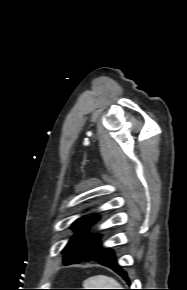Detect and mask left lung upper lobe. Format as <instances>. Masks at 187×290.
<instances>
[{
	"instance_id": "obj_1",
	"label": "left lung upper lobe",
	"mask_w": 187,
	"mask_h": 290,
	"mask_svg": "<svg viewBox=\"0 0 187 290\" xmlns=\"http://www.w3.org/2000/svg\"><path fill=\"white\" fill-rule=\"evenodd\" d=\"M97 220V216L82 217L73 224L77 232L68 242L62 253L64 256V264L71 262H83L92 259L101 250L99 242L100 235H91L88 229Z\"/></svg>"
}]
</instances>
